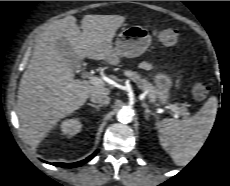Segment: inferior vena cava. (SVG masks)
<instances>
[{
  "mask_svg": "<svg viewBox=\"0 0 230 186\" xmlns=\"http://www.w3.org/2000/svg\"><path fill=\"white\" fill-rule=\"evenodd\" d=\"M90 100L93 103H99L102 105H107L110 103V97L107 96L106 94H101V93H93L90 95Z\"/></svg>",
  "mask_w": 230,
  "mask_h": 186,
  "instance_id": "602c4592",
  "label": "inferior vena cava"
}]
</instances>
